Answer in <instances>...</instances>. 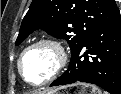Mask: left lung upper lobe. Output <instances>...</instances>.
I'll return each mask as SVG.
<instances>
[{
    "mask_svg": "<svg viewBox=\"0 0 121 94\" xmlns=\"http://www.w3.org/2000/svg\"><path fill=\"white\" fill-rule=\"evenodd\" d=\"M119 14L115 0H33L16 45L41 28L54 37L66 39L74 53L99 27Z\"/></svg>",
    "mask_w": 121,
    "mask_h": 94,
    "instance_id": "5c2ea615",
    "label": "left lung upper lobe"
}]
</instances>
